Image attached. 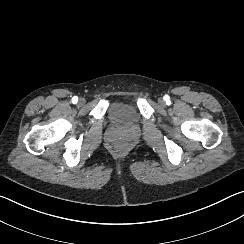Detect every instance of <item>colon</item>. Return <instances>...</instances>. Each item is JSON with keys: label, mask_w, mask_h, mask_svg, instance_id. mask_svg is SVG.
I'll use <instances>...</instances> for the list:
<instances>
[{"label": "colon", "mask_w": 244, "mask_h": 244, "mask_svg": "<svg viewBox=\"0 0 244 244\" xmlns=\"http://www.w3.org/2000/svg\"><path fill=\"white\" fill-rule=\"evenodd\" d=\"M115 150H116L117 153L123 154V153L126 152L127 147H126L125 144L119 143V144L116 145Z\"/></svg>", "instance_id": "1"}]
</instances>
